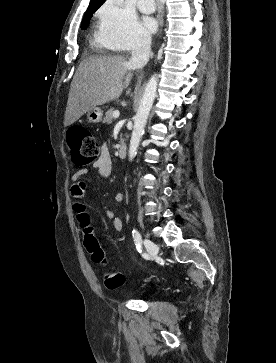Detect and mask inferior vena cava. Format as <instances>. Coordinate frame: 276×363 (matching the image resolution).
<instances>
[{
    "label": "inferior vena cava",
    "mask_w": 276,
    "mask_h": 363,
    "mask_svg": "<svg viewBox=\"0 0 276 363\" xmlns=\"http://www.w3.org/2000/svg\"><path fill=\"white\" fill-rule=\"evenodd\" d=\"M151 54V36L140 34L132 47V56L129 63L134 68H142L149 61Z\"/></svg>",
    "instance_id": "obj_1"
}]
</instances>
